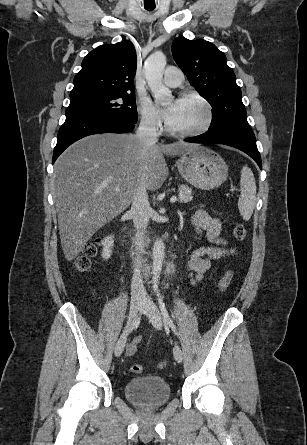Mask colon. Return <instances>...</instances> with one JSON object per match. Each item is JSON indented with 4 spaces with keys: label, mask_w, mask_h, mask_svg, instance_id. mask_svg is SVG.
<instances>
[{
    "label": "colon",
    "mask_w": 307,
    "mask_h": 445,
    "mask_svg": "<svg viewBox=\"0 0 307 445\" xmlns=\"http://www.w3.org/2000/svg\"><path fill=\"white\" fill-rule=\"evenodd\" d=\"M233 236L237 241H243L247 236L246 228L243 224H236L233 227ZM100 240H95L94 242L88 244L84 250L82 256H80L76 261V266L80 271H86L90 268L91 260L97 255ZM233 272L231 270L227 271L218 283V290L220 292H225L231 282ZM165 362L160 363V367H163ZM132 373H141L143 367L139 364H133L130 367Z\"/></svg>",
    "instance_id": "obj_1"
}]
</instances>
